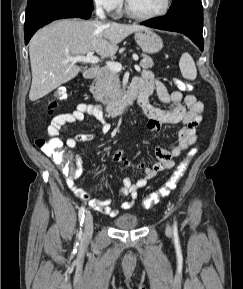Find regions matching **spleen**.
Listing matches in <instances>:
<instances>
[{
    "label": "spleen",
    "instance_id": "spleen-1",
    "mask_svg": "<svg viewBox=\"0 0 243 289\" xmlns=\"http://www.w3.org/2000/svg\"><path fill=\"white\" fill-rule=\"evenodd\" d=\"M182 76L188 80H194L197 77L195 62L189 53H183L179 61Z\"/></svg>",
    "mask_w": 243,
    "mask_h": 289
}]
</instances>
